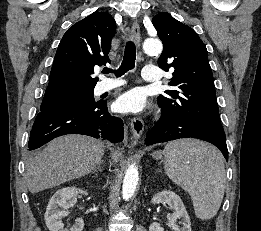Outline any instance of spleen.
<instances>
[{
  "label": "spleen",
  "mask_w": 261,
  "mask_h": 231,
  "mask_svg": "<svg viewBox=\"0 0 261 231\" xmlns=\"http://www.w3.org/2000/svg\"><path fill=\"white\" fill-rule=\"evenodd\" d=\"M163 153L166 174L189 193L196 216L202 220L213 218L226 185L222 154L214 146L191 138L169 142Z\"/></svg>",
  "instance_id": "obj_1"
}]
</instances>
